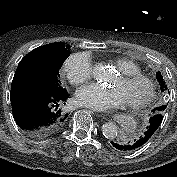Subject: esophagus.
Listing matches in <instances>:
<instances>
[{
  "label": "esophagus",
  "instance_id": "34e87169",
  "mask_svg": "<svg viewBox=\"0 0 177 177\" xmlns=\"http://www.w3.org/2000/svg\"><path fill=\"white\" fill-rule=\"evenodd\" d=\"M104 116H105L106 118H109V117L111 116V113H110L109 111H106V112L104 113Z\"/></svg>",
  "mask_w": 177,
  "mask_h": 177
}]
</instances>
